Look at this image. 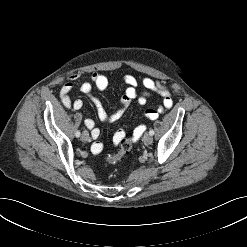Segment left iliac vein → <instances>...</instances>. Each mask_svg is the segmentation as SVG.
Instances as JSON below:
<instances>
[{
    "label": "left iliac vein",
    "mask_w": 247,
    "mask_h": 247,
    "mask_svg": "<svg viewBox=\"0 0 247 247\" xmlns=\"http://www.w3.org/2000/svg\"><path fill=\"white\" fill-rule=\"evenodd\" d=\"M152 141H153L152 135H150L149 133H145L143 136V142L146 145H150L152 143Z\"/></svg>",
    "instance_id": "1"
}]
</instances>
